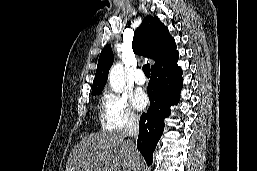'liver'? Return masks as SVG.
<instances>
[{
    "mask_svg": "<svg viewBox=\"0 0 257 171\" xmlns=\"http://www.w3.org/2000/svg\"><path fill=\"white\" fill-rule=\"evenodd\" d=\"M140 154L124 134H90L73 148L65 171H132Z\"/></svg>",
    "mask_w": 257,
    "mask_h": 171,
    "instance_id": "obj_1",
    "label": "liver"
}]
</instances>
